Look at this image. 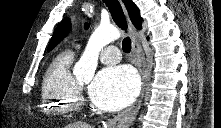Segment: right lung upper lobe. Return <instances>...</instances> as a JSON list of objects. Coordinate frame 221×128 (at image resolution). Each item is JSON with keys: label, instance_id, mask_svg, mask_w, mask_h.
I'll return each mask as SVG.
<instances>
[{"label": "right lung upper lobe", "instance_id": "obj_1", "mask_svg": "<svg viewBox=\"0 0 221 128\" xmlns=\"http://www.w3.org/2000/svg\"><path fill=\"white\" fill-rule=\"evenodd\" d=\"M123 2L125 3L132 23L136 28L140 29L142 25V18L140 16L139 9L132 0H123ZM69 30L70 24L68 20L65 19L55 30L48 46V51L52 50L68 34Z\"/></svg>", "mask_w": 221, "mask_h": 128}]
</instances>
